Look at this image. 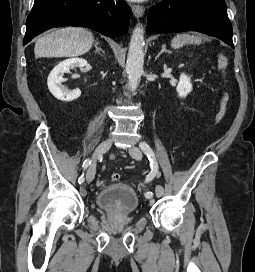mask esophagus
<instances>
[{
	"label": "esophagus",
	"instance_id": "esophagus-1",
	"mask_svg": "<svg viewBox=\"0 0 255 272\" xmlns=\"http://www.w3.org/2000/svg\"><path fill=\"white\" fill-rule=\"evenodd\" d=\"M132 11L136 18H140L144 15L145 8L141 5H132Z\"/></svg>",
	"mask_w": 255,
	"mask_h": 272
}]
</instances>
